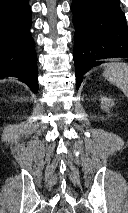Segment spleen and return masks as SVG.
Returning a JSON list of instances; mask_svg holds the SVG:
<instances>
[{
    "label": "spleen",
    "instance_id": "1",
    "mask_svg": "<svg viewBox=\"0 0 128 213\" xmlns=\"http://www.w3.org/2000/svg\"><path fill=\"white\" fill-rule=\"evenodd\" d=\"M105 78L116 85L128 98V64L124 62H111L106 65Z\"/></svg>",
    "mask_w": 128,
    "mask_h": 213
}]
</instances>
